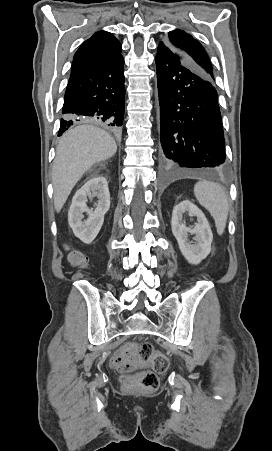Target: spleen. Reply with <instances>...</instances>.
Instances as JSON below:
<instances>
[{"label": "spleen", "instance_id": "1", "mask_svg": "<svg viewBox=\"0 0 272 451\" xmlns=\"http://www.w3.org/2000/svg\"><path fill=\"white\" fill-rule=\"evenodd\" d=\"M194 194L201 206H204L214 218L217 233L222 235L227 218H228V200L227 196L222 190V186L215 184V182H197L194 186Z\"/></svg>", "mask_w": 272, "mask_h": 451}]
</instances>
